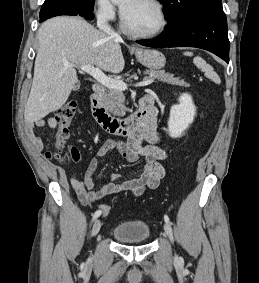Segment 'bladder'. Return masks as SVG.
I'll use <instances>...</instances> for the list:
<instances>
[{
	"mask_svg": "<svg viewBox=\"0 0 259 283\" xmlns=\"http://www.w3.org/2000/svg\"><path fill=\"white\" fill-rule=\"evenodd\" d=\"M112 235L122 242L146 241L150 238V227L143 221H125L114 227Z\"/></svg>",
	"mask_w": 259,
	"mask_h": 283,
	"instance_id": "31cf9c89",
	"label": "bladder"
}]
</instances>
